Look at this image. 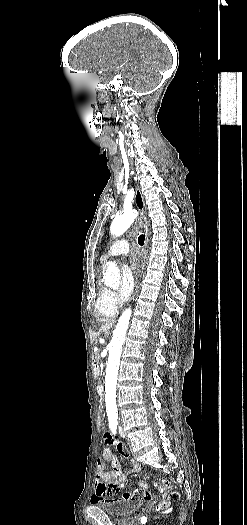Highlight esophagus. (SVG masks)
<instances>
[{"label": "esophagus", "instance_id": "obj_1", "mask_svg": "<svg viewBox=\"0 0 247 525\" xmlns=\"http://www.w3.org/2000/svg\"><path fill=\"white\" fill-rule=\"evenodd\" d=\"M135 203H136L137 209L140 211L141 220L143 221V230H144L145 235H146L145 250L148 251V248H149V230H148V225L145 222V202H144L141 190L139 189L138 186H136V189H135Z\"/></svg>", "mask_w": 247, "mask_h": 525}]
</instances>
